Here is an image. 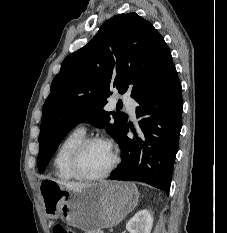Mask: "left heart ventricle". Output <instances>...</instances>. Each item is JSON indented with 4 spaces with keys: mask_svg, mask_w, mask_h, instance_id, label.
I'll list each match as a JSON object with an SVG mask.
<instances>
[{
    "mask_svg": "<svg viewBox=\"0 0 227 233\" xmlns=\"http://www.w3.org/2000/svg\"><path fill=\"white\" fill-rule=\"evenodd\" d=\"M112 161V152L105 143L89 145L80 158V168L88 175H98L104 172Z\"/></svg>",
    "mask_w": 227,
    "mask_h": 233,
    "instance_id": "b2bd125f",
    "label": "left heart ventricle"
}]
</instances>
